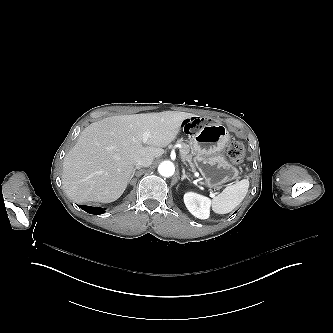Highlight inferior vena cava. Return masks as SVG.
Returning <instances> with one entry per match:
<instances>
[{
    "label": "inferior vena cava",
    "instance_id": "obj_1",
    "mask_svg": "<svg viewBox=\"0 0 333 333\" xmlns=\"http://www.w3.org/2000/svg\"><path fill=\"white\" fill-rule=\"evenodd\" d=\"M152 163H153V158H151V157H144V158H141V159H139L137 161L136 166L137 167H145V168H147V167L151 166Z\"/></svg>",
    "mask_w": 333,
    "mask_h": 333
}]
</instances>
